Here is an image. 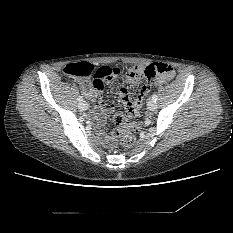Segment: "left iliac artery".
I'll use <instances>...</instances> for the list:
<instances>
[{
	"label": "left iliac artery",
	"instance_id": "44dca946",
	"mask_svg": "<svg viewBox=\"0 0 233 233\" xmlns=\"http://www.w3.org/2000/svg\"><path fill=\"white\" fill-rule=\"evenodd\" d=\"M156 100H157V95L154 94V95L152 96V101L156 102Z\"/></svg>",
	"mask_w": 233,
	"mask_h": 233
}]
</instances>
